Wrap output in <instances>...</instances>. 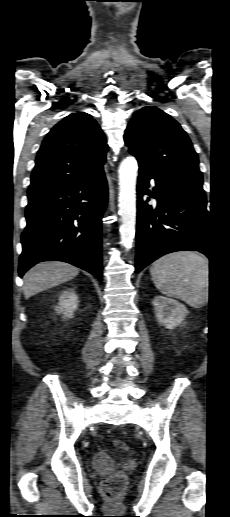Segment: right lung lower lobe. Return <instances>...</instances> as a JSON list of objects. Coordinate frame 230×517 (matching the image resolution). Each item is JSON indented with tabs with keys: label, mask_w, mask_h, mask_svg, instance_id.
Returning <instances> with one entry per match:
<instances>
[{
	"label": "right lung lower lobe",
	"mask_w": 230,
	"mask_h": 517,
	"mask_svg": "<svg viewBox=\"0 0 230 517\" xmlns=\"http://www.w3.org/2000/svg\"><path fill=\"white\" fill-rule=\"evenodd\" d=\"M107 199L103 170L77 183L28 194L19 276L38 262L56 260L102 280L101 224Z\"/></svg>",
	"instance_id": "1"
}]
</instances>
